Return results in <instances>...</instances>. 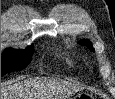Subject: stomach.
<instances>
[{
	"mask_svg": "<svg viewBox=\"0 0 115 99\" xmlns=\"http://www.w3.org/2000/svg\"><path fill=\"white\" fill-rule=\"evenodd\" d=\"M85 98H92V96L88 93H79L75 95L73 99H85Z\"/></svg>",
	"mask_w": 115,
	"mask_h": 99,
	"instance_id": "0dacf381",
	"label": "stomach"
}]
</instances>
